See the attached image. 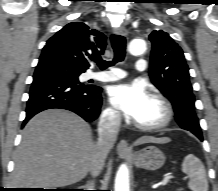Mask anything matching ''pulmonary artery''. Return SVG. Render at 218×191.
Here are the masks:
<instances>
[{"instance_id": "1", "label": "pulmonary artery", "mask_w": 218, "mask_h": 191, "mask_svg": "<svg viewBox=\"0 0 218 191\" xmlns=\"http://www.w3.org/2000/svg\"><path fill=\"white\" fill-rule=\"evenodd\" d=\"M146 60L143 58H139L136 61L135 68L137 71H143L146 68ZM126 74L117 68H112L110 71L107 72H100V73H90L87 78L94 79L102 82H113L124 78Z\"/></svg>"}]
</instances>
